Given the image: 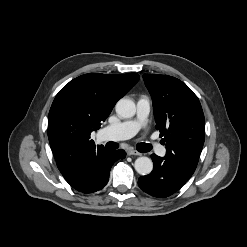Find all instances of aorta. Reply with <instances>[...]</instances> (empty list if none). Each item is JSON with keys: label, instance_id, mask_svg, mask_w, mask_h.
I'll use <instances>...</instances> for the list:
<instances>
[{"label": "aorta", "instance_id": "1", "mask_svg": "<svg viewBox=\"0 0 247 247\" xmlns=\"http://www.w3.org/2000/svg\"><path fill=\"white\" fill-rule=\"evenodd\" d=\"M116 113L122 118H131L136 113L135 103L127 98L120 99L116 104ZM134 168L141 175H148L153 169V162L148 157H139L135 160Z\"/></svg>", "mask_w": 247, "mask_h": 247}]
</instances>
